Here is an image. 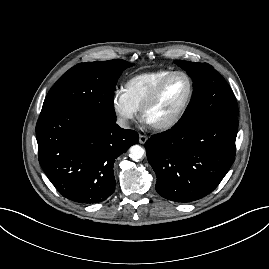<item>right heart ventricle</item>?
Here are the masks:
<instances>
[{
    "label": "right heart ventricle",
    "mask_w": 269,
    "mask_h": 269,
    "mask_svg": "<svg viewBox=\"0 0 269 269\" xmlns=\"http://www.w3.org/2000/svg\"><path fill=\"white\" fill-rule=\"evenodd\" d=\"M172 71L157 70L137 74L126 81L123 92L136 110H140L156 85Z\"/></svg>",
    "instance_id": "e07e8e85"
}]
</instances>
